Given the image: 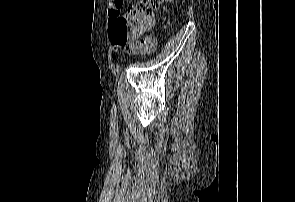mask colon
Instances as JSON below:
<instances>
[{"instance_id": "5ec220e1", "label": "colon", "mask_w": 295, "mask_h": 202, "mask_svg": "<svg viewBox=\"0 0 295 202\" xmlns=\"http://www.w3.org/2000/svg\"><path fill=\"white\" fill-rule=\"evenodd\" d=\"M169 1L171 0H141L139 4L129 7L113 21L112 43L116 46L132 45L139 52L149 51L152 45L143 36L149 27L152 11Z\"/></svg>"}]
</instances>
